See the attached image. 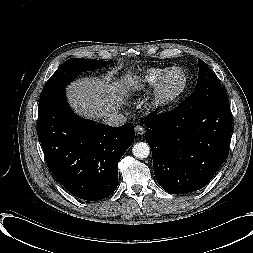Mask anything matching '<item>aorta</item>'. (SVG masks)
<instances>
[{
    "label": "aorta",
    "mask_w": 253,
    "mask_h": 253,
    "mask_svg": "<svg viewBox=\"0 0 253 253\" xmlns=\"http://www.w3.org/2000/svg\"><path fill=\"white\" fill-rule=\"evenodd\" d=\"M132 153L135 157L144 159L150 154V147L145 142H137L132 148Z\"/></svg>",
    "instance_id": "762f6f07"
}]
</instances>
